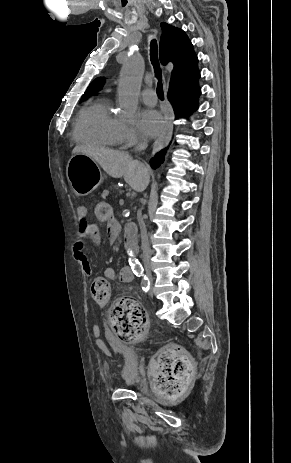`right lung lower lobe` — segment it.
<instances>
[{
  "label": "right lung lower lobe",
  "instance_id": "obj_1",
  "mask_svg": "<svg viewBox=\"0 0 291 463\" xmlns=\"http://www.w3.org/2000/svg\"><path fill=\"white\" fill-rule=\"evenodd\" d=\"M200 73H196L192 81L186 86L169 88V100L173 106L176 118L188 117L193 111L198 109V98L201 90L198 85ZM168 147L161 150L150 161L151 167L156 169L164 161V156Z\"/></svg>",
  "mask_w": 291,
  "mask_h": 463
}]
</instances>
